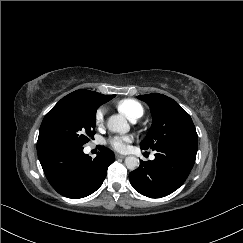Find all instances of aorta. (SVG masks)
I'll use <instances>...</instances> for the list:
<instances>
[{"label":"aorta","instance_id":"762f6f07","mask_svg":"<svg viewBox=\"0 0 243 243\" xmlns=\"http://www.w3.org/2000/svg\"><path fill=\"white\" fill-rule=\"evenodd\" d=\"M107 127L111 132L125 134L129 132L130 126L122 115H112L109 117ZM125 165L129 170H135L139 167V159L135 156H128L125 159Z\"/></svg>","mask_w":243,"mask_h":243}]
</instances>
